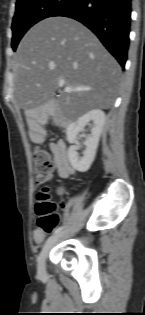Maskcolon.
Returning a JSON list of instances; mask_svg holds the SVG:
<instances>
[{
    "label": "colon",
    "mask_w": 145,
    "mask_h": 315,
    "mask_svg": "<svg viewBox=\"0 0 145 315\" xmlns=\"http://www.w3.org/2000/svg\"><path fill=\"white\" fill-rule=\"evenodd\" d=\"M33 160L37 179L40 182L49 179L53 169V162L50 154L46 150L37 147L33 153ZM36 212L39 215L37 225L44 232L53 230L61 219L60 214L56 212V205L51 200L47 188L42 189L38 193Z\"/></svg>",
    "instance_id": "5ec220e1"
}]
</instances>
